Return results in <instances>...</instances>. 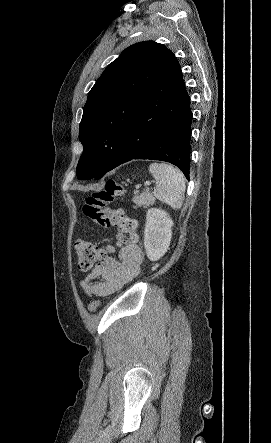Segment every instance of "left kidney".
Listing matches in <instances>:
<instances>
[{
	"mask_svg": "<svg viewBox=\"0 0 271 443\" xmlns=\"http://www.w3.org/2000/svg\"><path fill=\"white\" fill-rule=\"evenodd\" d=\"M173 220L164 210H148L144 231V247L151 261L160 259L169 249Z\"/></svg>",
	"mask_w": 271,
	"mask_h": 443,
	"instance_id": "1",
	"label": "left kidney"
}]
</instances>
